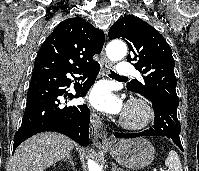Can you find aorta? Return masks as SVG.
<instances>
[{
    "label": "aorta",
    "mask_w": 199,
    "mask_h": 171,
    "mask_svg": "<svg viewBox=\"0 0 199 171\" xmlns=\"http://www.w3.org/2000/svg\"><path fill=\"white\" fill-rule=\"evenodd\" d=\"M127 53V47L125 43L119 40L111 41L106 48V54L111 61H119ZM88 170L89 171H102L101 167L93 160L88 159Z\"/></svg>",
    "instance_id": "obj_1"
}]
</instances>
